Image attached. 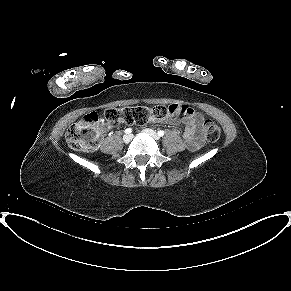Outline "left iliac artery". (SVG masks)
Returning a JSON list of instances; mask_svg holds the SVG:
<instances>
[{
    "mask_svg": "<svg viewBox=\"0 0 291 291\" xmlns=\"http://www.w3.org/2000/svg\"><path fill=\"white\" fill-rule=\"evenodd\" d=\"M163 135H164V131L163 130L158 131V136L162 137Z\"/></svg>",
    "mask_w": 291,
    "mask_h": 291,
    "instance_id": "1",
    "label": "left iliac artery"
}]
</instances>
